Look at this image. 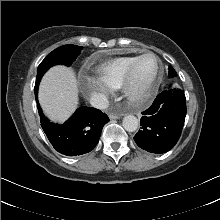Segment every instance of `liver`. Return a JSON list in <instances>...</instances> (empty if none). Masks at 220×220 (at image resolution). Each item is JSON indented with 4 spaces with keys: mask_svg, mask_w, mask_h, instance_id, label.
<instances>
[{
    "mask_svg": "<svg viewBox=\"0 0 220 220\" xmlns=\"http://www.w3.org/2000/svg\"><path fill=\"white\" fill-rule=\"evenodd\" d=\"M78 87L72 69L62 65L52 67L42 78L39 102L45 114L55 122H64L74 112Z\"/></svg>",
    "mask_w": 220,
    "mask_h": 220,
    "instance_id": "liver-1",
    "label": "liver"
}]
</instances>
